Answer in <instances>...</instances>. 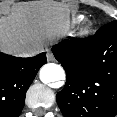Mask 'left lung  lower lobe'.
Returning a JSON list of instances; mask_svg holds the SVG:
<instances>
[{"instance_id":"left-lung-lower-lobe-1","label":"left lung lower lobe","mask_w":117,"mask_h":117,"mask_svg":"<svg viewBox=\"0 0 117 117\" xmlns=\"http://www.w3.org/2000/svg\"><path fill=\"white\" fill-rule=\"evenodd\" d=\"M52 51L66 71L56 99L64 117H114L117 114V21L85 41L65 40Z\"/></svg>"}]
</instances>
